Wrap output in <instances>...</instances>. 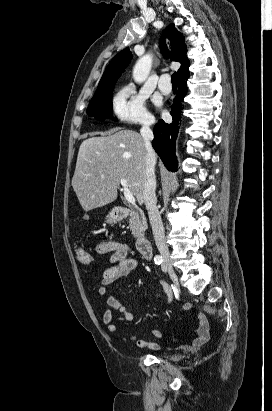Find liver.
<instances>
[{
	"instance_id": "6515ba94",
	"label": "liver",
	"mask_w": 272,
	"mask_h": 411,
	"mask_svg": "<svg viewBox=\"0 0 272 411\" xmlns=\"http://www.w3.org/2000/svg\"><path fill=\"white\" fill-rule=\"evenodd\" d=\"M145 156L143 138L132 130L84 140L72 178V187L84 211L113 202L121 178L126 179L129 190L142 204Z\"/></svg>"
}]
</instances>
